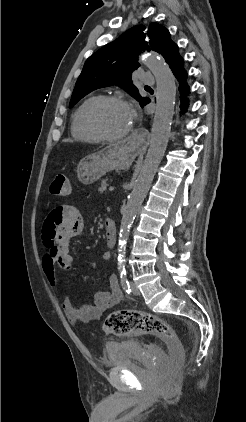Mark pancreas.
I'll list each match as a JSON object with an SVG mask.
<instances>
[{"label": "pancreas", "mask_w": 246, "mask_h": 422, "mask_svg": "<svg viewBox=\"0 0 246 422\" xmlns=\"http://www.w3.org/2000/svg\"><path fill=\"white\" fill-rule=\"evenodd\" d=\"M107 180H108V179H104V180H102V182H101V187L98 189V191H99L100 193H103V192H105V191H106V187H107Z\"/></svg>", "instance_id": "pancreas-1"}]
</instances>
